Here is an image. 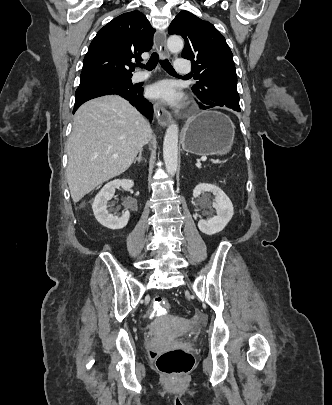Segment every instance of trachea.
<instances>
[{
  "instance_id": "3493384b",
  "label": "trachea",
  "mask_w": 332,
  "mask_h": 405,
  "mask_svg": "<svg viewBox=\"0 0 332 405\" xmlns=\"http://www.w3.org/2000/svg\"><path fill=\"white\" fill-rule=\"evenodd\" d=\"M159 61H160L162 68L165 71L172 73V74H176V72H175L174 68L172 67V65L170 64V62L167 59L159 60V55L156 52L152 53V55L146 65L141 64L139 62V63H137V66H139L141 68H145L148 71H151L157 66Z\"/></svg>"
}]
</instances>
